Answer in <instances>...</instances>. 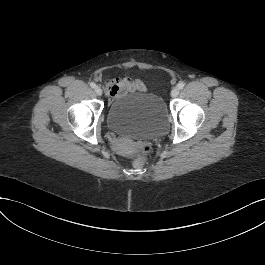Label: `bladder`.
I'll use <instances>...</instances> for the list:
<instances>
[{
    "instance_id": "bladder-1",
    "label": "bladder",
    "mask_w": 265,
    "mask_h": 265,
    "mask_svg": "<svg viewBox=\"0 0 265 265\" xmlns=\"http://www.w3.org/2000/svg\"><path fill=\"white\" fill-rule=\"evenodd\" d=\"M168 108L162 97L134 92L116 98L107 112V127L125 137H141L163 131Z\"/></svg>"
}]
</instances>
